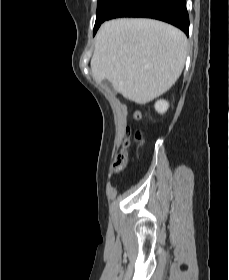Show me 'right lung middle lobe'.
<instances>
[{
	"label": "right lung middle lobe",
	"mask_w": 229,
	"mask_h": 280,
	"mask_svg": "<svg viewBox=\"0 0 229 280\" xmlns=\"http://www.w3.org/2000/svg\"><path fill=\"white\" fill-rule=\"evenodd\" d=\"M116 0H98V7H97V17L94 26V32L98 29L101 25L102 21L107 16L111 6Z\"/></svg>",
	"instance_id": "1"
}]
</instances>
